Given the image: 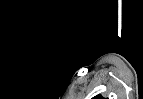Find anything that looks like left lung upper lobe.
<instances>
[{"mask_svg":"<svg viewBox=\"0 0 143 99\" xmlns=\"http://www.w3.org/2000/svg\"><path fill=\"white\" fill-rule=\"evenodd\" d=\"M92 99H106V98L102 97L101 95H97V96L93 97Z\"/></svg>","mask_w":143,"mask_h":99,"instance_id":"1","label":"left lung upper lobe"}]
</instances>
